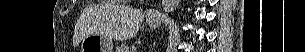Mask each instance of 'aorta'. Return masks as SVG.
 Here are the masks:
<instances>
[{
	"instance_id": "obj_1",
	"label": "aorta",
	"mask_w": 305,
	"mask_h": 52,
	"mask_svg": "<svg viewBox=\"0 0 305 52\" xmlns=\"http://www.w3.org/2000/svg\"><path fill=\"white\" fill-rule=\"evenodd\" d=\"M180 0H162V7L166 13H171L176 10Z\"/></svg>"
}]
</instances>
